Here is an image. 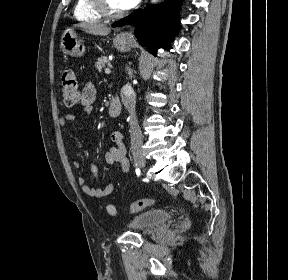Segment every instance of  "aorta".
<instances>
[{
	"label": "aorta",
	"mask_w": 288,
	"mask_h": 280,
	"mask_svg": "<svg viewBox=\"0 0 288 280\" xmlns=\"http://www.w3.org/2000/svg\"><path fill=\"white\" fill-rule=\"evenodd\" d=\"M153 2H156L157 0H152Z\"/></svg>",
	"instance_id": "obj_1"
}]
</instances>
